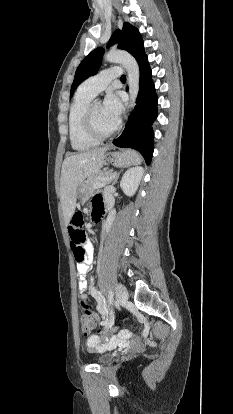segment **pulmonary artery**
Here are the masks:
<instances>
[{"mask_svg": "<svg viewBox=\"0 0 233 414\" xmlns=\"http://www.w3.org/2000/svg\"><path fill=\"white\" fill-rule=\"evenodd\" d=\"M121 69L119 67H111L104 69L97 73L94 76L86 79L80 86V89L91 95L92 97L96 96L98 93L103 91L108 84L121 76Z\"/></svg>", "mask_w": 233, "mask_h": 414, "instance_id": "e3ab8cb5", "label": "pulmonary artery"}]
</instances>
